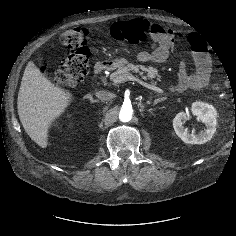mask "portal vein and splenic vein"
<instances>
[{"label": "portal vein and splenic vein", "mask_w": 236, "mask_h": 236, "mask_svg": "<svg viewBox=\"0 0 236 236\" xmlns=\"http://www.w3.org/2000/svg\"><path fill=\"white\" fill-rule=\"evenodd\" d=\"M128 80L136 81L139 84H141L142 86H144V87H146V88H148L150 90L156 91L158 93H164V91L161 88L156 87V86L151 85V84H148V83H146V82H144V81H142V80H140V79H138V78H136V77H134L132 75L131 76H127V77H119V78L112 79V81L114 83H122V82H125V81H128Z\"/></svg>", "instance_id": "obj_1"}]
</instances>
